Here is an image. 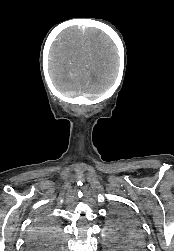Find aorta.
<instances>
[{
    "mask_svg": "<svg viewBox=\"0 0 174 251\" xmlns=\"http://www.w3.org/2000/svg\"><path fill=\"white\" fill-rule=\"evenodd\" d=\"M110 234H111L110 230L103 232V238L106 240L104 244V250L105 251H120L121 247L118 245V243L116 244L110 239L111 238Z\"/></svg>",
    "mask_w": 174,
    "mask_h": 251,
    "instance_id": "aorta-1",
    "label": "aorta"
}]
</instances>
